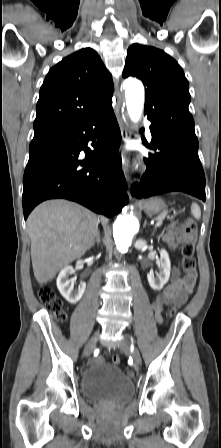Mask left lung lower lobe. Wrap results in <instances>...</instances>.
<instances>
[{"mask_svg":"<svg viewBox=\"0 0 221 448\" xmlns=\"http://www.w3.org/2000/svg\"><path fill=\"white\" fill-rule=\"evenodd\" d=\"M151 148L146 172L140 184L132 186V195L147 198L181 191L205 201V176L198 157V140L174 133L151 123Z\"/></svg>","mask_w":221,"mask_h":448,"instance_id":"obj_1","label":"left lung lower lobe"}]
</instances>
